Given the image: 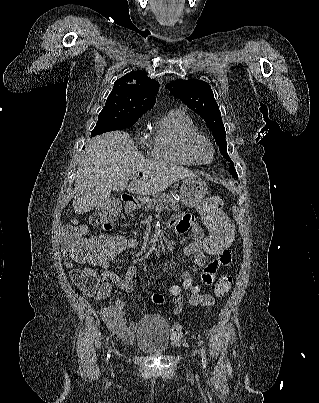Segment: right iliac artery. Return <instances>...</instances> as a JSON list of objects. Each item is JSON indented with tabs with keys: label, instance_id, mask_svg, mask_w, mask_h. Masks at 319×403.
<instances>
[{
	"label": "right iliac artery",
	"instance_id": "1",
	"mask_svg": "<svg viewBox=\"0 0 319 403\" xmlns=\"http://www.w3.org/2000/svg\"><path fill=\"white\" fill-rule=\"evenodd\" d=\"M110 352H111V351L109 350V351H108V354H107V359L110 358Z\"/></svg>",
	"mask_w": 319,
	"mask_h": 403
}]
</instances>
